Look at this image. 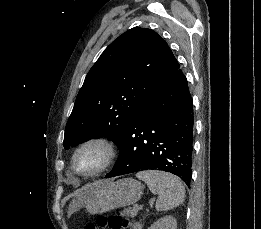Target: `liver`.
<instances>
[{"mask_svg":"<svg viewBox=\"0 0 261 229\" xmlns=\"http://www.w3.org/2000/svg\"><path fill=\"white\" fill-rule=\"evenodd\" d=\"M75 195H76V199L75 201H86V187H85V191H75ZM74 201V203H75ZM74 203H72V205H74Z\"/></svg>","mask_w":261,"mask_h":229,"instance_id":"liver-1","label":"liver"}]
</instances>
